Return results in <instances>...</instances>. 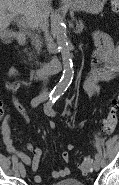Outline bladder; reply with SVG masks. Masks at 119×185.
<instances>
[{
  "label": "bladder",
  "instance_id": "1",
  "mask_svg": "<svg viewBox=\"0 0 119 185\" xmlns=\"http://www.w3.org/2000/svg\"><path fill=\"white\" fill-rule=\"evenodd\" d=\"M52 185H86L84 182L77 179H64Z\"/></svg>",
  "mask_w": 119,
  "mask_h": 185
}]
</instances>
